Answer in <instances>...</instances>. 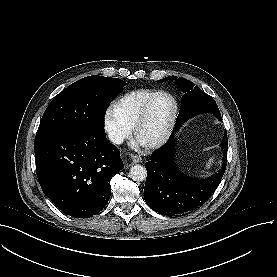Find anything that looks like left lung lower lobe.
Masks as SVG:
<instances>
[{"label": "left lung lower lobe", "mask_w": 277, "mask_h": 277, "mask_svg": "<svg viewBox=\"0 0 277 277\" xmlns=\"http://www.w3.org/2000/svg\"><path fill=\"white\" fill-rule=\"evenodd\" d=\"M174 136L156 150L146 162L147 178L144 199L154 211L164 216H176L201 206L215 191L227 164L228 138L225 131L221 147L224 158L222 168L212 177L199 180L182 174L174 167Z\"/></svg>", "instance_id": "obj_1"}]
</instances>
